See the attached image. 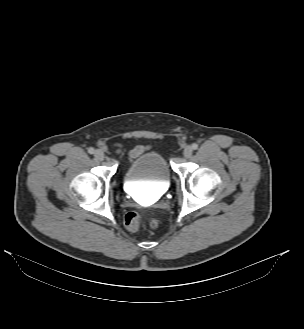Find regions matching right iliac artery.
I'll return each instance as SVG.
<instances>
[{
    "label": "right iliac artery",
    "instance_id": "right-iliac-artery-1",
    "mask_svg": "<svg viewBox=\"0 0 304 329\" xmlns=\"http://www.w3.org/2000/svg\"><path fill=\"white\" fill-rule=\"evenodd\" d=\"M94 152H95L94 148L90 147V148L88 149V153H90V154H94Z\"/></svg>",
    "mask_w": 304,
    "mask_h": 329
}]
</instances>
